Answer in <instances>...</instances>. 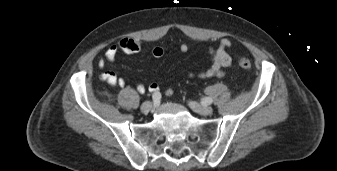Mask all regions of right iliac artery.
Listing matches in <instances>:
<instances>
[{"mask_svg":"<svg viewBox=\"0 0 337 171\" xmlns=\"http://www.w3.org/2000/svg\"><path fill=\"white\" fill-rule=\"evenodd\" d=\"M152 98L153 100L156 102V101H159L160 98H161V94L159 92H156L152 95Z\"/></svg>","mask_w":337,"mask_h":171,"instance_id":"82829eb1","label":"right iliac artery"}]
</instances>
